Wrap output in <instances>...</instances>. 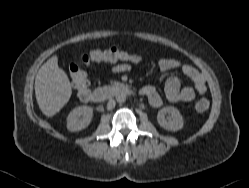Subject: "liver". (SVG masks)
I'll use <instances>...</instances> for the list:
<instances>
[{
  "label": "liver",
  "mask_w": 249,
  "mask_h": 188,
  "mask_svg": "<svg viewBox=\"0 0 249 188\" xmlns=\"http://www.w3.org/2000/svg\"><path fill=\"white\" fill-rule=\"evenodd\" d=\"M72 88L65 71L58 66V56L48 59L35 78V95L40 110L47 117L58 113L69 101Z\"/></svg>",
  "instance_id": "liver-1"
}]
</instances>
